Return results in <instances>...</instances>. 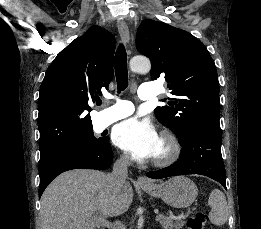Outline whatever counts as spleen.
I'll return each mask as SVG.
<instances>
[{
  "mask_svg": "<svg viewBox=\"0 0 261 229\" xmlns=\"http://www.w3.org/2000/svg\"><path fill=\"white\" fill-rule=\"evenodd\" d=\"M208 205L211 207L210 223L225 225L228 219V205L224 193H221L219 189H214L209 197Z\"/></svg>",
  "mask_w": 261,
  "mask_h": 229,
  "instance_id": "3e777b00",
  "label": "spleen"
}]
</instances>
